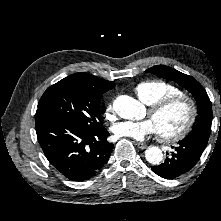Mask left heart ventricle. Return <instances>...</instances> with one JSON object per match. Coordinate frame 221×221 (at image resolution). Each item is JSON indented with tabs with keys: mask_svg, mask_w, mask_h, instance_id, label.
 Returning a JSON list of instances; mask_svg holds the SVG:
<instances>
[{
	"mask_svg": "<svg viewBox=\"0 0 221 221\" xmlns=\"http://www.w3.org/2000/svg\"><path fill=\"white\" fill-rule=\"evenodd\" d=\"M186 120V108L183 104L178 103L167 107L154 118L157 131L164 134L176 132Z\"/></svg>",
	"mask_w": 221,
	"mask_h": 221,
	"instance_id": "left-heart-ventricle-1",
	"label": "left heart ventricle"
}]
</instances>
